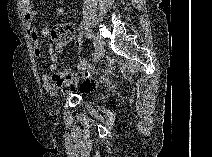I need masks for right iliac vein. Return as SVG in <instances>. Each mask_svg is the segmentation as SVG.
<instances>
[{
  "instance_id": "right-iliac-vein-1",
  "label": "right iliac vein",
  "mask_w": 212,
  "mask_h": 157,
  "mask_svg": "<svg viewBox=\"0 0 212 157\" xmlns=\"http://www.w3.org/2000/svg\"><path fill=\"white\" fill-rule=\"evenodd\" d=\"M91 34V33H90ZM95 46V57L94 62H98L102 55V42L99 36L92 34Z\"/></svg>"
}]
</instances>
